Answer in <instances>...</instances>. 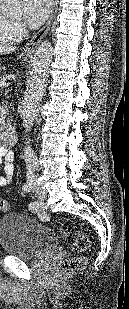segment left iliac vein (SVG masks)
Instances as JSON below:
<instances>
[{
	"instance_id": "4c4485c4",
	"label": "left iliac vein",
	"mask_w": 129,
	"mask_h": 309,
	"mask_svg": "<svg viewBox=\"0 0 129 309\" xmlns=\"http://www.w3.org/2000/svg\"><path fill=\"white\" fill-rule=\"evenodd\" d=\"M32 191L39 200V202L37 203L38 209L47 210L48 206L45 204L47 192L38 185L36 178L33 180L32 183Z\"/></svg>"
}]
</instances>
